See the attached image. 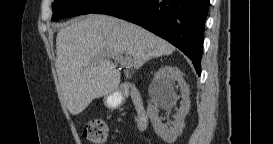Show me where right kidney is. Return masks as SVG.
<instances>
[{
	"label": "right kidney",
	"mask_w": 273,
	"mask_h": 144,
	"mask_svg": "<svg viewBox=\"0 0 273 144\" xmlns=\"http://www.w3.org/2000/svg\"><path fill=\"white\" fill-rule=\"evenodd\" d=\"M175 81H177L180 86L184 103L177 112L175 121L172 123L171 127H167V125L162 123L157 108L152 106L151 103L148 104L147 108V114L152 122L155 133L168 144L173 143L177 139L185 126L184 119L190 105L189 87L184 81L180 70L177 67L172 66H165L159 69L155 74L153 82V90L156 98L159 99L161 105H167V103L172 101L176 96L174 88Z\"/></svg>",
	"instance_id": "obj_1"
}]
</instances>
